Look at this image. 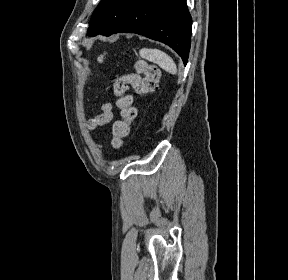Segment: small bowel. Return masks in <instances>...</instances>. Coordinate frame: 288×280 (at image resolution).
Returning <instances> with one entry per match:
<instances>
[{"instance_id":"obj_1","label":"small bowel","mask_w":288,"mask_h":280,"mask_svg":"<svg viewBox=\"0 0 288 280\" xmlns=\"http://www.w3.org/2000/svg\"><path fill=\"white\" fill-rule=\"evenodd\" d=\"M113 119V110L111 103H104L101 106V113L88 122V127L94 130L98 126L110 123Z\"/></svg>"}]
</instances>
